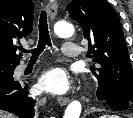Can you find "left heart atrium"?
Masks as SVG:
<instances>
[{"label":"left heart atrium","instance_id":"1","mask_svg":"<svg viewBox=\"0 0 133 118\" xmlns=\"http://www.w3.org/2000/svg\"><path fill=\"white\" fill-rule=\"evenodd\" d=\"M38 87L43 92L64 94L70 89L71 82L64 69L51 68L41 75Z\"/></svg>","mask_w":133,"mask_h":118}]
</instances>
